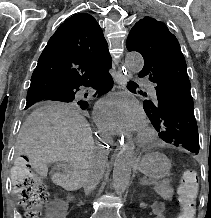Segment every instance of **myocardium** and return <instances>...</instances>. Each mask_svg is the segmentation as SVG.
<instances>
[{"label":"myocardium","instance_id":"1","mask_svg":"<svg viewBox=\"0 0 211 218\" xmlns=\"http://www.w3.org/2000/svg\"><path fill=\"white\" fill-rule=\"evenodd\" d=\"M155 135L152 130L144 129L136 138V143L141 147H149L153 143Z\"/></svg>","mask_w":211,"mask_h":218}]
</instances>
